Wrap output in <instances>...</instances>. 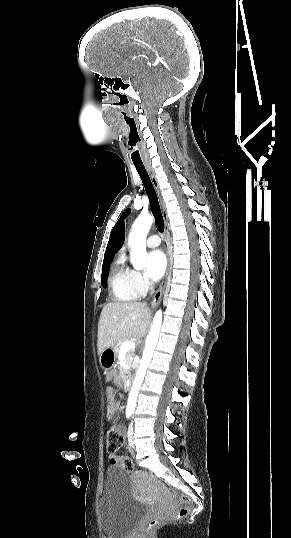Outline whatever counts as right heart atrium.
I'll return each mask as SVG.
<instances>
[{
    "instance_id": "d8ad5b80",
    "label": "right heart atrium",
    "mask_w": 291,
    "mask_h": 538,
    "mask_svg": "<svg viewBox=\"0 0 291 538\" xmlns=\"http://www.w3.org/2000/svg\"><path fill=\"white\" fill-rule=\"evenodd\" d=\"M132 278L134 286L139 295L144 294L149 288V284L145 277L139 271L132 270Z\"/></svg>"
}]
</instances>
